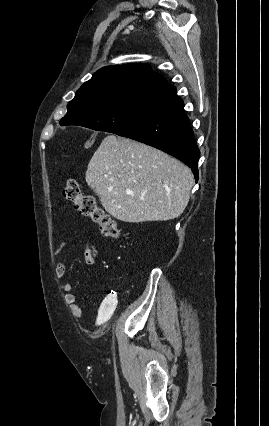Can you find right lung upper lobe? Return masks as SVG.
<instances>
[{
    "mask_svg": "<svg viewBox=\"0 0 269 426\" xmlns=\"http://www.w3.org/2000/svg\"><path fill=\"white\" fill-rule=\"evenodd\" d=\"M169 86L164 77L151 70L150 65L130 63L107 66L98 70L76 93L88 95L96 92L124 90L163 93Z\"/></svg>",
    "mask_w": 269,
    "mask_h": 426,
    "instance_id": "obj_1",
    "label": "right lung upper lobe"
}]
</instances>
